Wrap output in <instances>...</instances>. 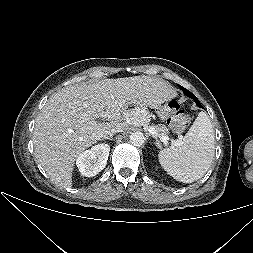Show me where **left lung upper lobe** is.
Wrapping results in <instances>:
<instances>
[{"label":"left lung upper lobe","mask_w":253,"mask_h":253,"mask_svg":"<svg viewBox=\"0 0 253 253\" xmlns=\"http://www.w3.org/2000/svg\"><path fill=\"white\" fill-rule=\"evenodd\" d=\"M180 88L184 91L185 95L189 97L190 92L186 90L185 88H183L182 86H180Z\"/></svg>","instance_id":"1"}]
</instances>
